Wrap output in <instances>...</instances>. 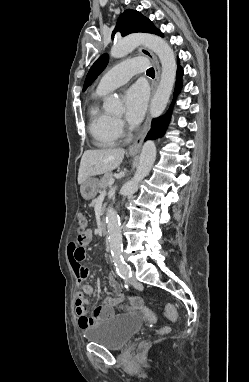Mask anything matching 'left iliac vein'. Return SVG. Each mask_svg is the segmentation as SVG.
I'll return each mask as SVG.
<instances>
[{
	"label": "left iliac vein",
	"instance_id": "left-iliac-vein-1",
	"mask_svg": "<svg viewBox=\"0 0 249 382\" xmlns=\"http://www.w3.org/2000/svg\"><path fill=\"white\" fill-rule=\"evenodd\" d=\"M129 282H130L131 284H134V283L137 282V280H136L135 277H131V278L129 279Z\"/></svg>",
	"mask_w": 249,
	"mask_h": 382
}]
</instances>
